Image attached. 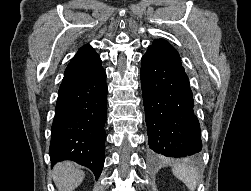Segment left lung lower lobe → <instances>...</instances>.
Returning a JSON list of instances; mask_svg holds the SVG:
<instances>
[{"label": "left lung lower lobe", "mask_w": 251, "mask_h": 191, "mask_svg": "<svg viewBox=\"0 0 251 191\" xmlns=\"http://www.w3.org/2000/svg\"><path fill=\"white\" fill-rule=\"evenodd\" d=\"M141 62V87L152 155L181 158L198 154L202 149L200 125L184 67L150 49Z\"/></svg>", "instance_id": "1"}]
</instances>
